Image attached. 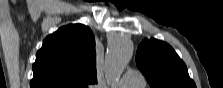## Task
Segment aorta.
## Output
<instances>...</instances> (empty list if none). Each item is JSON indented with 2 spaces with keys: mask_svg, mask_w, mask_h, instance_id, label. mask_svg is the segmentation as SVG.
Segmentation results:
<instances>
[{
  "mask_svg": "<svg viewBox=\"0 0 223 88\" xmlns=\"http://www.w3.org/2000/svg\"><path fill=\"white\" fill-rule=\"evenodd\" d=\"M132 55L133 44L128 39L118 38L109 44L105 60L108 81L119 79Z\"/></svg>",
  "mask_w": 223,
  "mask_h": 88,
  "instance_id": "obj_1",
  "label": "aorta"
}]
</instances>
